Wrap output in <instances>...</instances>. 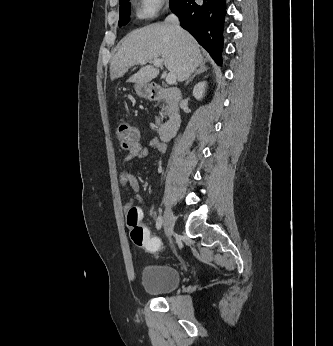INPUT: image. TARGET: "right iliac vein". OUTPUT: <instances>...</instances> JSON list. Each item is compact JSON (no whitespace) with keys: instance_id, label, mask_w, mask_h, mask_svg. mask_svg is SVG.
I'll return each mask as SVG.
<instances>
[{"instance_id":"63e3f726","label":"right iliac vein","mask_w":333,"mask_h":346,"mask_svg":"<svg viewBox=\"0 0 333 346\" xmlns=\"http://www.w3.org/2000/svg\"><path fill=\"white\" fill-rule=\"evenodd\" d=\"M174 227V215L171 208L167 207L164 214V230L165 235L170 237Z\"/></svg>"}]
</instances>
